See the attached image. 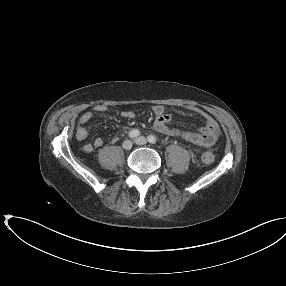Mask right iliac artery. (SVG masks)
<instances>
[{
    "label": "right iliac artery",
    "mask_w": 286,
    "mask_h": 286,
    "mask_svg": "<svg viewBox=\"0 0 286 286\" xmlns=\"http://www.w3.org/2000/svg\"><path fill=\"white\" fill-rule=\"evenodd\" d=\"M140 135V132H139V130H137V129H133V130H131L130 132H129V137L130 138H136V137H138Z\"/></svg>",
    "instance_id": "82829eb1"
}]
</instances>
